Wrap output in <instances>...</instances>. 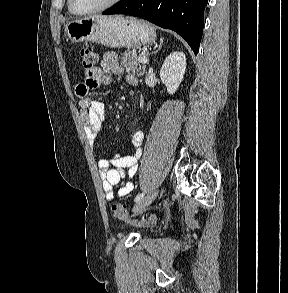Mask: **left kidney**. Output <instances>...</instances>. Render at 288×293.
I'll use <instances>...</instances> for the list:
<instances>
[{"instance_id": "obj_1", "label": "left kidney", "mask_w": 288, "mask_h": 293, "mask_svg": "<svg viewBox=\"0 0 288 293\" xmlns=\"http://www.w3.org/2000/svg\"><path fill=\"white\" fill-rule=\"evenodd\" d=\"M186 57L182 52L171 53L160 70V79L169 94H174L184 78Z\"/></svg>"}]
</instances>
